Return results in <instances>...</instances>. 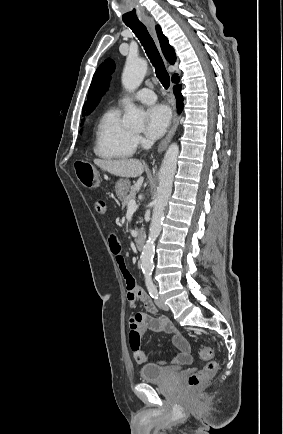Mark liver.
<instances>
[{
	"instance_id": "6515ba94",
	"label": "liver",
	"mask_w": 283,
	"mask_h": 434,
	"mask_svg": "<svg viewBox=\"0 0 283 434\" xmlns=\"http://www.w3.org/2000/svg\"><path fill=\"white\" fill-rule=\"evenodd\" d=\"M94 163L101 169L120 177L136 178L144 172V165L136 159L101 160L95 159Z\"/></svg>"
}]
</instances>
